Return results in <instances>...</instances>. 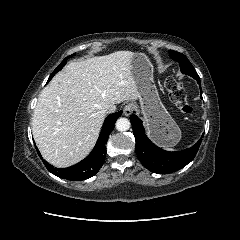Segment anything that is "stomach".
Returning <instances> with one entry per match:
<instances>
[{
    "label": "stomach",
    "instance_id": "1",
    "mask_svg": "<svg viewBox=\"0 0 240 240\" xmlns=\"http://www.w3.org/2000/svg\"><path fill=\"white\" fill-rule=\"evenodd\" d=\"M130 66L149 137L157 144L176 145L181 139V130L160 100L149 58L144 53H134Z\"/></svg>",
    "mask_w": 240,
    "mask_h": 240
}]
</instances>
